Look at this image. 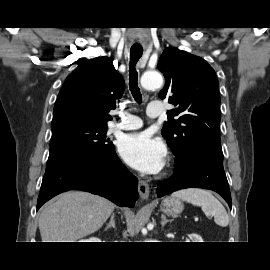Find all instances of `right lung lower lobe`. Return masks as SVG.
Listing matches in <instances>:
<instances>
[{"instance_id":"right-lung-lower-lobe-1","label":"right lung lower lobe","mask_w":270,"mask_h":270,"mask_svg":"<svg viewBox=\"0 0 270 270\" xmlns=\"http://www.w3.org/2000/svg\"><path fill=\"white\" fill-rule=\"evenodd\" d=\"M138 180L128 172L115 150L102 151L75 145L50 149L37 210L67 190H83L103 196L119 206L133 207Z\"/></svg>"}]
</instances>
